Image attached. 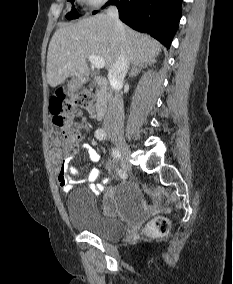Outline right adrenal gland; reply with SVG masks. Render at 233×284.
I'll list each match as a JSON object with an SVG mask.
<instances>
[{
  "label": "right adrenal gland",
  "instance_id": "right-adrenal-gland-1",
  "mask_svg": "<svg viewBox=\"0 0 233 284\" xmlns=\"http://www.w3.org/2000/svg\"><path fill=\"white\" fill-rule=\"evenodd\" d=\"M139 65H134L129 73V76L130 77H134L136 76L139 72H140V69H139Z\"/></svg>",
  "mask_w": 233,
  "mask_h": 284
}]
</instances>
